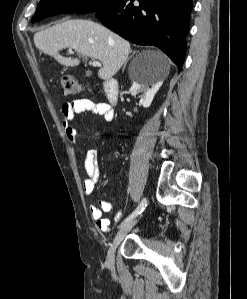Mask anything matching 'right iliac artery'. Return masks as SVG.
<instances>
[{"label": "right iliac artery", "instance_id": "1", "mask_svg": "<svg viewBox=\"0 0 247 299\" xmlns=\"http://www.w3.org/2000/svg\"><path fill=\"white\" fill-rule=\"evenodd\" d=\"M147 206V200L146 198L142 199L141 203L139 204V206L136 208V210L130 214L124 221L122 224L127 223L128 221L132 220L133 218H135L137 215L141 214L144 209Z\"/></svg>", "mask_w": 247, "mask_h": 299}]
</instances>
